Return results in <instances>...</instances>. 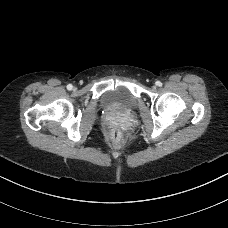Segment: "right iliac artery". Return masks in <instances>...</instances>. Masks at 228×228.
<instances>
[{
    "label": "right iliac artery",
    "instance_id": "right-iliac-artery-1",
    "mask_svg": "<svg viewBox=\"0 0 228 228\" xmlns=\"http://www.w3.org/2000/svg\"><path fill=\"white\" fill-rule=\"evenodd\" d=\"M73 86L71 84L67 85L68 90H72Z\"/></svg>",
    "mask_w": 228,
    "mask_h": 228
}]
</instances>
